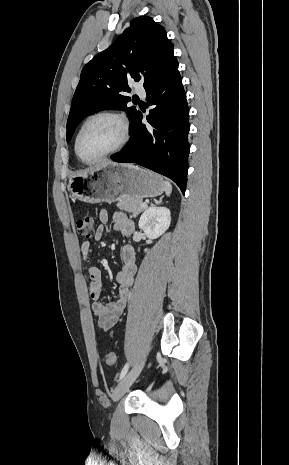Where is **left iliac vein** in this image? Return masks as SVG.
<instances>
[{"mask_svg":"<svg viewBox=\"0 0 289 465\" xmlns=\"http://www.w3.org/2000/svg\"><path fill=\"white\" fill-rule=\"evenodd\" d=\"M144 363H145V359H142L118 383V385L116 386L112 394V400L114 402L119 401L124 396V394L128 391L130 386L133 384V382L136 380V378L139 376L140 372L142 371L144 367Z\"/></svg>","mask_w":289,"mask_h":465,"instance_id":"1","label":"left iliac vein"}]
</instances>
